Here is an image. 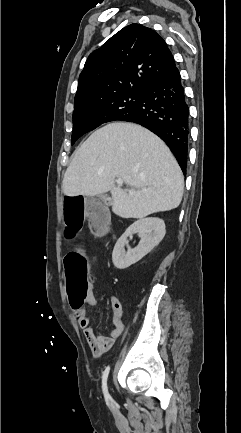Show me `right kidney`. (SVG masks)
<instances>
[{
  "label": "right kidney",
  "instance_id": "ca27d5eb",
  "mask_svg": "<svg viewBox=\"0 0 241 433\" xmlns=\"http://www.w3.org/2000/svg\"><path fill=\"white\" fill-rule=\"evenodd\" d=\"M165 223L160 218L149 217L134 222L118 239L112 253V261L117 269H126L135 264L156 247L164 238ZM138 234L141 238L134 249L125 251L128 237Z\"/></svg>",
  "mask_w": 241,
  "mask_h": 433
}]
</instances>
